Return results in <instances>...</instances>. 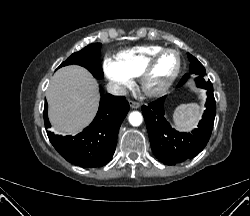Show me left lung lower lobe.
<instances>
[{"instance_id":"left-lung-lower-lobe-1","label":"left lung lower lobe","mask_w":250,"mask_h":216,"mask_svg":"<svg viewBox=\"0 0 250 216\" xmlns=\"http://www.w3.org/2000/svg\"><path fill=\"white\" fill-rule=\"evenodd\" d=\"M197 86L207 90L208 98L202 120L198 128L191 133L176 131L166 121L164 117L166 96L142 106L152 151L164 164L175 165L192 159L209 141L216 114L213 86Z\"/></svg>"}]
</instances>
